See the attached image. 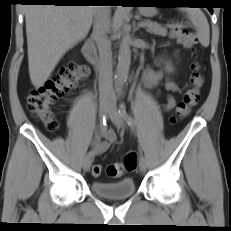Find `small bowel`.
<instances>
[{
    "label": "small bowel",
    "mask_w": 231,
    "mask_h": 231,
    "mask_svg": "<svg viewBox=\"0 0 231 231\" xmlns=\"http://www.w3.org/2000/svg\"><path fill=\"white\" fill-rule=\"evenodd\" d=\"M163 80L162 74L157 71L149 70L144 77L145 84L150 88H155L161 84ZM164 88L168 92H176L178 86L175 82L167 80L164 83ZM175 106V100L172 95H168L166 98L165 109L171 110ZM116 133L112 129H108L100 135H96L92 142L91 147L94 154L99 155L106 152L109 147L115 142Z\"/></svg>",
    "instance_id": "1"
}]
</instances>
